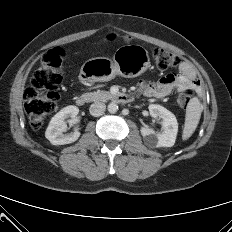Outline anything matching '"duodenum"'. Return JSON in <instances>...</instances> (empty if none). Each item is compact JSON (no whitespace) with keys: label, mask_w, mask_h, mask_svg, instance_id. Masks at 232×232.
<instances>
[{"label":"duodenum","mask_w":232,"mask_h":232,"mask_svg":"<svg viewBox=\"0 0 232 232\" xmlns=\"http://www.w3.org/2000/svg\"><path fill=\"white\" fill-rule=\"evenodd\" d=\"M88 96L87 95H79L76 99V104L78 106H84L87 101H88ZM113 99L115 102H118V103H129L133 100V96L131 95H124V94H115L113 96Z\"/></svg>","instance_id":"1"}]
</instances>
